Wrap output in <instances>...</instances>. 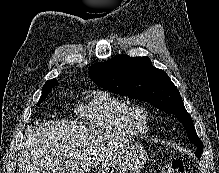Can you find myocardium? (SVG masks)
Listing matches in <instances>:
<instances>
[{
    "mask_svg": "<svg viewBox=\"0 0 219 173\" xmlns=\"http://www.w3.org/2000/svg\"><path fill=\"white\" fill-rule=\"evenodd\" d=\"M127 119L139 132H146L150 120L148 108L141 103H133L127 107Z\"/></svg>",
    "mask_w": 219,
    "mask_h": 173,
    "instance_id": "1",
    "label": "myocardium"
}]
</instances>
